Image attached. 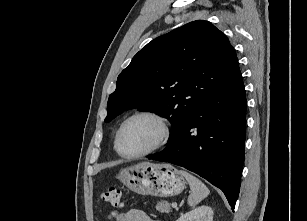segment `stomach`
Listing matches in <instances>:
<instances>
[{
	"label": "stomach",
	"instance_id": "obj_1",
	"mask_svg": "<svg viewBox=\"0 0 307 221\" xmlns=\"http://www.w3.org/2000/svg\"><path fill=\"white\" fill-rule=\"evenodd\" d=\"M117 178L138 194L158 197L178 195L186 186L180 171L166 163L142 162L122 169Z\"/></svg>",
	"mask_w": 307,
	"mask_h": 221
}]
</instances>
